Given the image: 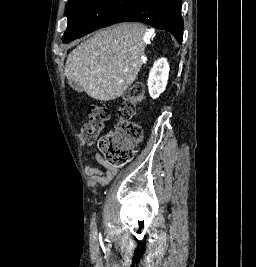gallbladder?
<instances>
[{
  "label": "gallbladder",
  "mask_w": 256,
  "mask_h": 267,
  "mask_svg": "<svg viewBox=\"0 0 256 267\" xmlns=\"http://www.w3.org/2000/svg\"><path fill=\"white\" fill-rule=\"evenodd\" d=\"M69 86L73 88V90H77V92H84L83 86L81 84H78V82H74V80H68Z\"/></svg>",
  "instance_id": "gallbladder-1"
}]
</instances>
